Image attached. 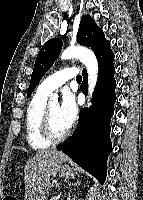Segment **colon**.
I'll list each match as a JSON object with an SVG mask.
<instances>
[{"label":"colon","instance_id":"colon-1","mask_svg":"<svg viewBox=\"0 0 143 200\" xmlns=\"http://www.w3.org/2000/svg\"><path fill=\"white\" fill-rule=\"evenodd\" d=\"M4 200H17V199L13 196H6Z\"/></svg>","mask_w":143,"mask_h":200}]
</instances>
